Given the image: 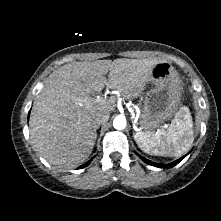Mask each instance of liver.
Here are the masks:
<instances>
[{
  "instance_id": "liver-1",
  "label": "liver",
  "mask_w": 221,
  "mask_h": 221,
  "mask_svg": "<svg viewBox=\"0 0 221 221\" xmlns=\"http://www.w3.org/2000/svg\"><path fill=\"white\" fill-rule=\"evenodd\" d=\"M159 62L147 58L73 62L52 72L31 112L34 147L52 165L73 168L84 162L95 145L93 115H109L115 103L92 99L90 94L106 85L125 99L137 98Z\"/></svg>"
}]
</instances>
